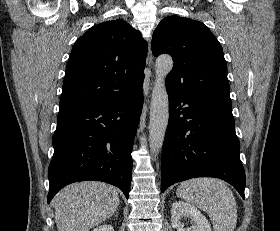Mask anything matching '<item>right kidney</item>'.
<instances>
[{
  "label": "right kidney",
  "mask_w": 280,
  "mask_h": 231,
  "mask_svg": "<svg viewBox=\"0 0 280 231\" xmlns=\"http://www.w3.org/2000/svg\"><path fill=\"white\" fill-rule=\"evenodd\" d=\"M93 231H114L113 225H99V227H95Z\"/></svg>",
  "instance_id": "right-kidney-1"
}]
</instances>
